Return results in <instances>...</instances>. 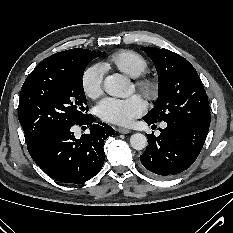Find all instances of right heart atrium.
<instances>
[{"label":"right heart atrium","instance_id":"obj_1","mask_svg":"<svg viewBox=\"0 0 233 233\" xmlns=\"http://www.w3.org/2000/svg\"><path fill=\"white\" fill-rule=\"evenodd\" d=\"M105 70L102 66L94 65L87 68L81 78L84 93L91 99H96L103 93Z\"/></svg>","mask_w":233,"mask_h":233}]
</instances>
